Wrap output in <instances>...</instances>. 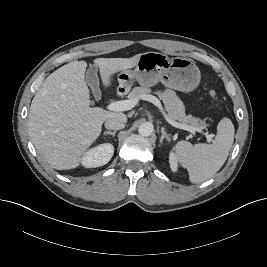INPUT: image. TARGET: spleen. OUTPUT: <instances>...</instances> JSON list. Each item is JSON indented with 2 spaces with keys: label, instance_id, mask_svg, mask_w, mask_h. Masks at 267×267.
Listing matches in <instances>:
<instances>
[{
  "label": "spleen",
  "instance_id": "3e777b00",
  "mask_svg": "<svg viewBox=\"0 0 267 267\" xmlns=\"http://www.w3.org/2000/svg\"><path fill=\"white\" fill-rule=\"evenodd\" d=\"M235 129L229 118L220 120L212 144L179 141L175 145L176 158L189 174L192 183H201L216 174L225 163L234 142Z\"/></svg>",
  "mask_w": 267,
  "mask_h": 267
}]
</instances>
